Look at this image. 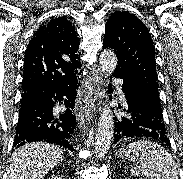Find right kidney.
I'll use <instances>...</instances> for the list:
<instances>
[{
  "instance_id": "ca27d5eb",
  "label": "right kidney",
  "mask_w": 183,
  "mask_h": 179,
  "mask_svg": "<svg viewBox=\"0 0 183 179\" xmlns=\"http://www.w3.org/2000/svg\"><path fill=\"white\" fill-rule=\"evenodd\" d=\"M51 179H61V177L60 176H52Z\"/></svg>"
}]
</instances>
